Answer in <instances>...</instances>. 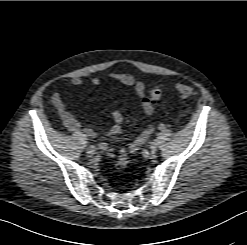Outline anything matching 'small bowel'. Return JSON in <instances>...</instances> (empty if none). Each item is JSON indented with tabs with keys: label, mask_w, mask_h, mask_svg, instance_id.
<instances>
[{
	"label": "small bowel",
	"mask_w": 247,
	"mask_h": 245,
	"mask_svg": "<svg viewBox=\"0 0 247 245\" xmlns=\"http://www.w3.org/2000/svg\"><path fill=\"white\" fill-rule=\"evenodd\" d=\"M109 78H112L122 85L126 87H131L136 92L140 105L147 115H152L154 113V106L150 99L146 97V86L145 84L134 77L132 74L123 73V72H111L108 74ZM85 80L82 77H75L71 79L70 86L78 87L84 84ZM88 82L97 86L100 84L101 80L98 77H92L88 80ZM51 104L60 117L63 125L73 133H83L88 137H96L98 133L93 129L83 125L69 110H67L63 98L60 93L56 92L51 97ZM111 117L114 121L113 126L106 132L107 135H118L122 130L123 124V116L119 110H113L111 113ZM154 131V127L152 125H148L137 137L136 139L129 145V152L135 153L138 149L150 138ZM100 149L107 153L110 156H113L106 142L100 143Z\"/></svg>",
	"instance_id": "small-bowel-1"
}]
</instances>
